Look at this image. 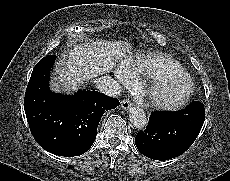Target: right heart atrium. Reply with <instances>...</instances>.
<instances>
[{"label": "right heart atrium", "instance_id": "obj_1", "mask_svg": "<svg viewBox=\"0 0 230 181\" xmlns=\"http://www.w3.org/2000/svg\"><path fill=\"white\" fill-rule=\"evenodd\" d=\"M117 80H118V82H120V83H124V82H126L127 80H130V81H131V79H128L127 76H126L123 72H121V71L117 74Z\"/></svg>", "mask_w": 230, "mask_h": 181}]
</instances>
